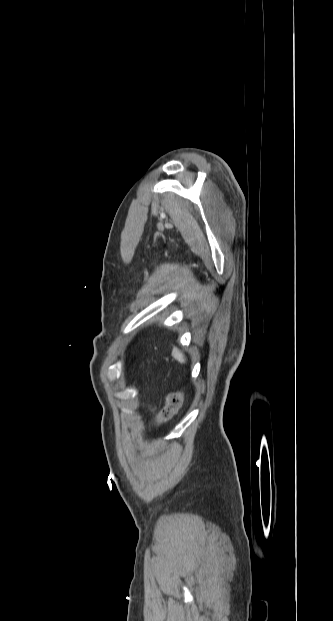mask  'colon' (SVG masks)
Returning a JSON list of instances; mask_svg holds the SVG:
<instances>
[{"instance_id": "colon-1", "label": "colon", "mask_w": 333, "mask_h": 621, "mask_svg": "<svg viewBox=\"0 0 333 621\" xmlns=\"http://www.w3.org/2000/svg\"><path fill=\"white\" fill-rule=\"evenodd\" d=\"M181 399H182L181 392L177 391V392L169 393L166 397V402H165L163 409L157 416V421L162 422V421L167 420L169 417H171L172 414L178 409L181 403Z\"/></svg>"}]
</instances>
